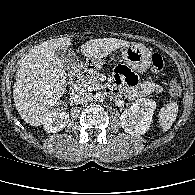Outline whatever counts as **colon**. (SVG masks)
Segmentation results:
<instances>
[{
  "mask_svg": "<svg viewBox=\"0 0 195 195\" xmlns=\"http://www.w3.org/2000/svg\"><path fill=\"white\" fill-rule=\"evenodd\" d=\"M151 69L154 73H161L164 69V60L158 53L151 56ZM168 90L172 97H179L181 94V86L176 80H171L168 84Z\"/></svg>",
  "mask_w": 195,
  "mask_h": 195,
  "instance_id": "colon-1",
  "label": "colon"
}]
</instances>
